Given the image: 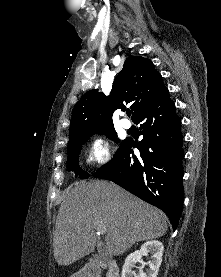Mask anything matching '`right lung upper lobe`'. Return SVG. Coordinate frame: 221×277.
I'll list each match as a JSON object with an SVG mask.
<instances>
[{
    "instance_id": "cb5924a9",
    "label": "right lung upper lobe",
    "mask_w": 221,
    "mask_h": 277,
    "mask_svg": "<svg viewBox=\"0 0 221 277\" xmlns=\"http://www.w3.org/2000/svg\"><path fill=\"white\" fill-rule=\"evenodd\" d=\"M167 88L154 64L140 56H129L116 76L109 96L98 89L84 94L74 106L70 124V137L96 127L113 125L115 110L131 104L132 120L147 105L159 98Z\"/></svg>"
}]
</instances>
